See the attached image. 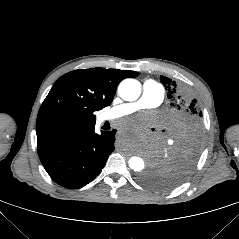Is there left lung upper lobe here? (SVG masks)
Here are the masks:
<instances>
[{
  "label": "left lung upper lobe",
  "instance_id": "5c2ea615",
  "mask_svg": "<svg viewBox=\"0 0 239 239\" xmlns=\"http://www.w3.org/2000/svg\"><path fill=\"white\" fill-rule=\"evenodd\" d=\"M160 80L169 99V138L141 180L153 189H170L183 182L195 167L203 144V118L186 86L163 75Z\"/></svg>",
  "mask_w": 239,
  "mask_h": 239
}]
</instances>
